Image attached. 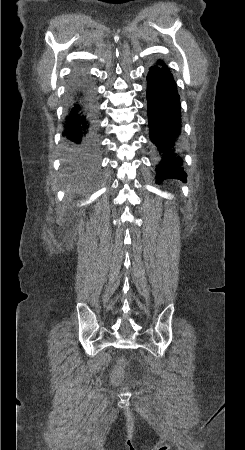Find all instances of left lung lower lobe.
<instances>
[{"label": "left lung lower lobe", "instance_id": "left-lung-lower-lobe-1", "mask_svg": "<svg viewBox=\"0 0 245 450\" xmlns=\"http://www.w3.org/2000/svg\"><path fill=\"white\" fill-rule=\"evenodd\" d=\"M148 122L150 136L161 157L156 181L173 178L186 181L178 151L181 134V104L177 85L166 65L158 61L147 76Z\"/></svg>", "mask_w": 245, "mask_h": 450}]
</instances>
